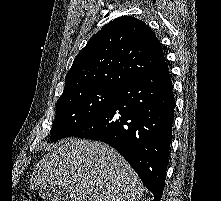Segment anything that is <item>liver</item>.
Returning <instances> with one entry per match:
<instances>
[{"label": "liver", "mask_w": 221, "mask_h": 201, "mask_svg": "<svg viewBox=\"0 0 221 201\" xmlns=\"http://www.w3.org/2000/svg\"><path fill=\"white\" fill-rule=\"evenodd\" d=\"M57 185L70 201H139L143 185L128 162L109 145L69 138L36 165L32 189Z\"/></svg>", "instance_id": "obj_1"}]
</instances>
